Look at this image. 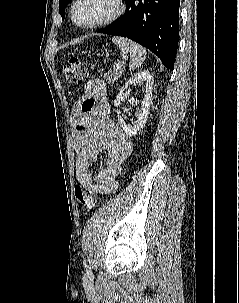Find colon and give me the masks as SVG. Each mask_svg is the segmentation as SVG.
Returning <instances> with one entry per match:
<instances>
[{
  "label": "colon",
  "mask_w": 239,
  "mask_h": 303,
  "mask_svg": "<svg viewBox=\"0 0 239 303\" xmlns=\"http://www.w3.org/2000/svg\"><path fill=\"white\" fill-rule=\"evenodd\" d=\"M87 65L78 58H71L62 67L64 82L67 85L81 83L86 75ZM76 200L86 209H91L96 205L97 195L94 190H84L80 186L74 189Z\"/></svg>",
  "instance_id": "obj_1"
}]
</instances>
